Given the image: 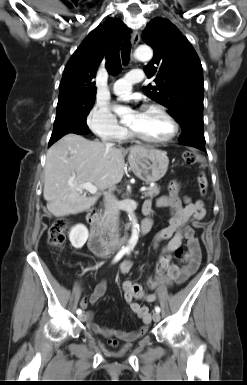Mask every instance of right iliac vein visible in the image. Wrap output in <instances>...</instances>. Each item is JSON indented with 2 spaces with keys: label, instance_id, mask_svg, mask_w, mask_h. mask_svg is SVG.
Here are the masks:
<instances>
[{
  "label": "right iliac vein",
  "instance_id": "1",
  "mask_svg": "<svg viewBox=\"0 0 247 385\" xmlns=\"http://www.w3.org/2000/svg\"><path fill=\"white\" fill-rule=\"evenodd\" d=\"M79 319H80L81 321H85V320H86L85 314H81V315L79 316Z\"/></svg>",
  "mask_w": 247,
  "mask_h": 385
}]
</instances>
